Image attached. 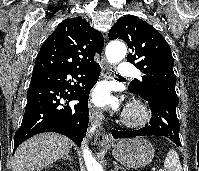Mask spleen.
<instances>
[{
    "mask_svg": "<svg viewBox=\"0 0 199 171\" xmlns=\"http://www.w3.org/2000/svg\"><path fill=\"white\" fill-rule=\"evenodd\" d=\"M164 166L168 169V171H182V165L175 150H169L164 160Z\"/></svg>",
    "mask_w": 199,
    "mask_h": 171,
    "instance_id": "3e777b00",
    "label": "spleen"
}]
</instances>
